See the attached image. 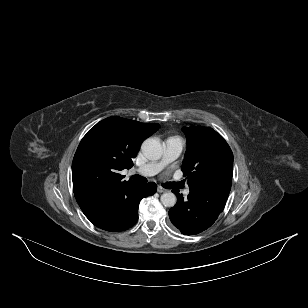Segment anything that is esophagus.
Wrapping results in <instances>:
<instances>
[{
    "mask_svg": "<svg viewBox=\"0 0 308 308\" xmlns=\"http://www.w3.org/2000/svg\"><path fill=\"white\" fill-rule=\"evenodd\" d=\"M166 191L167 190L165 188H163V187H160V186L157 187V192H159V193H164Z\"/></svg>",
    "mask_w": 308,
    "mask_h": 308,
    "instance_id": "esophagus-1",
    "label": "esophagus"
}]
</instances>
